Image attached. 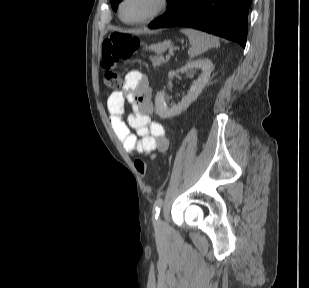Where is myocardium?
Instances as JSON below:
<instances>
[{
	"label": "myocardium",
	"mask_w": 309,
	"mask_h": 288,
	"mask_svg": "<svg viewBox=\"0 0 309 288\" xmlns=\"http://www.w3.org/2000/svg\"><path fill=\"white\" fill-rule=\"evenodd\" d=\"M127 0H122L119 9L118 14L121 21L127 25L131 26H137V25H143L152 22L153 20L159 18L160 16L164 15L170 6V0H156V7L155 9L145 18L136 20V21H128L123 16V9L126 4Z\"/></svg>",
	"instance_id": "f54148a6"
}]
</instances>
